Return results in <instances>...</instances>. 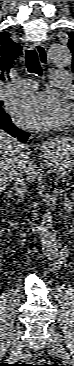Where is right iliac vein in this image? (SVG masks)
I'll use <instances>...</instances> for the list:
<instances>
[{
	"instance_id": "1",
	"label": "right iliac vein",
	"mask_w": 74,
	"mask_h": 366,
	"mask_svg": "<svg viewBox=\"0 0 74 366\" xmlns=\"http://www.w3.org/2000/svg\"><path fill=\"white\" fill-rule=\"evenodd\" d=\"M21 334V326L20 324H16L14 333H13V342H12V355H16L19 347V338Z\"/></svg>"
}]
</instances>
